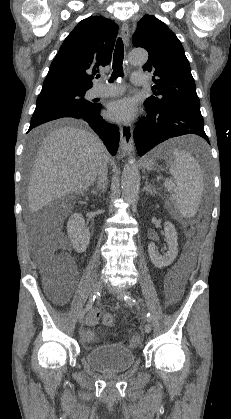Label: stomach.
<instances>
[{
	"instance_id": "obj_1",
	"label": "stomach",
	"mask_w": 231,
	"mask_h": 419,
	"mask_svg": "<svg viewBox=\"0 0 231 419\" xmlns=\"http://www.w3.org/2000/svg\"><path fill=\"white\" fill-rule=\"evenodd\" d=\"M157 164L156 155L155 154H148L144 157L142 166L146 170H153Z\"/></svg>"
}]
</instances>
